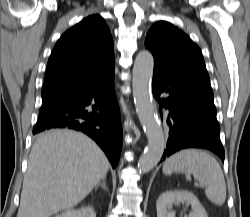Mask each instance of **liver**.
Listing matches in <instances>:
<instances>
[{"label": "liver", "instance_id": "6515ba94", "mask_svg": "<svg viewBox=\"0 0 250 217\" xmlns=\"http://www.w3.org/2000/svg\"><path fill=\"white\" fill-rule=\"evenodd\" d=\"M109 162L82 133L52 129L37 136L17 217H50L80 203L103 179Z\"/></svg>", "mask_w": 250, "mask_h": 217}]
</instances>
